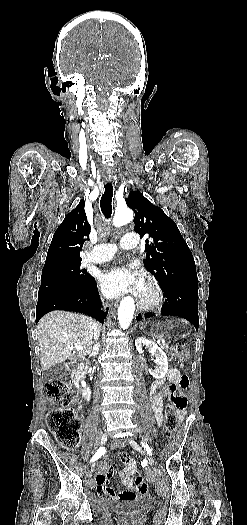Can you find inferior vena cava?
Instances as JSON below:
<instances>
[{"mask_svg":"<svg viewBox=\"0 0 247 525\" xmlns=\"http://www.w3.org/2000/svg\"><path fill=\"white\" fill-rule=\"evenodd\" d=\"M100 331H101V329H100L99 325H96L95 331L93 333L94 339H95V343H97V341H98V339L100 337Z\"/></svg>","mask_w":247,"mask_h":525,"instance_id":"inferior-vena-cava-1","label":"inferior vena cava"}]
</instances>
